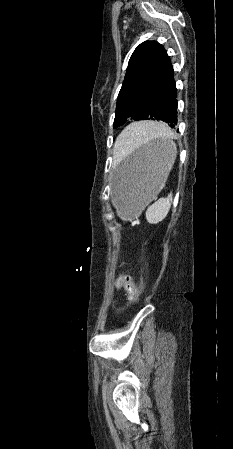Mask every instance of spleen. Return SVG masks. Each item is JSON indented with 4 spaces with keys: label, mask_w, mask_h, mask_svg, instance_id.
<instances>
[{
    "label": "spleen",
    "mask_w": 233,
    "mask_h": 449,
    "mask_svg": "<svg viewBox=\"0 0 233 449\" xmlns=\"http://www.w3.org/2000/svg\"><path fill=\"white\" fill-rule=\"evenodd\" d=\"M168 133V124L166 125H135L130 124L119 136L117 140V155L119 157L130 153L137 146L146 142H160ZM174 144V143H173ZM175 151H176V145ZM172 202V194L167 198H160L146 211V219L150 224L161 222L168 214Z\"/></svg>",
    "instance_id": "spleen-1"
}]
</instances>
